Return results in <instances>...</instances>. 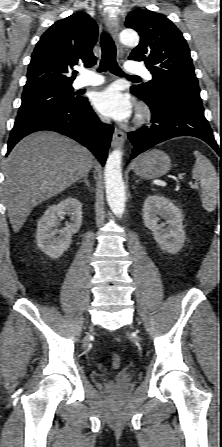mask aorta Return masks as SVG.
<instances>
[{
	"label": "aorta",
	"instance_id": "1",
	"mask_svg": "<svg viewBox=\"0 0 222 447\" xmlns=\"http://www.w3.org/2000/svg\"><path fill=\"white\" fill-rule=\"evenodd\" d=\"M120 41L124 45L135 47L139 43V36L133 29H125L120 33ZM121 162V150L112 151L107 158L104 171L107 201L112 212L119 217L124 213L126 200Z\"/></svg>",
	"mask_w": 222,
	"mask_h": 447
}]
</instances>
